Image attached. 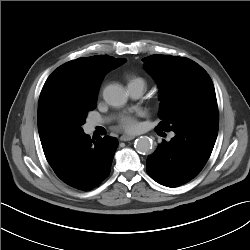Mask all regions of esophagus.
Returning <instances> with one entry per match:
<instances>
[{
	"mask_svg": "<svg viewBox=\"0 0 250 250\" xmlns=\"http://www.w3.org/2000/svg\"><path fill=\"white\" fill-rule=\"evenodd\" d=\"M133 139H135V136L126 135V134H124V135H122V136L120 137V140H121V141H131V140H133Z\"/></svg>",
	"mask_w": 250,
	"mask_h": 250,
	"instance_id": "esophagus-1",
	"label": "esophagus"
}]
</instances>
